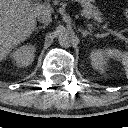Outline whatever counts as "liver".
<instances>
[{
	"mask_svg": "<svg viewBox=\"0 0 128 128\" xmlns=\"http://www.w3.org/2000/svg\"><path fill=\"white\" fill-rule=\"evenodd\" d=\"M46 10L45 4L30 0H0V62L30 36L38 14Z\"/></svg>",
	"mask_w": 128,
	"mask_h": 128,
	"instance_id": "liver-1",
	"label": "liver"
}]
</instances>
